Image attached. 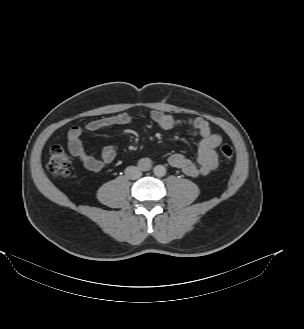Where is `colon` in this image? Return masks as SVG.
Wrapping results in <instances>:
<instances>
[{
  "instance_id": "1",
  "label": "colon",
  "mask_w": 304,
  "mask_h": 329,
  "mask_svg": "<svg viewBox=\"0 0 304 329\" xmlns=\"http://www.w3.org/2000/svg\"><path fill=\"white\" fill-rule=\"evenodd\" d=\"M220 153L224 160H231L234 156L233 148L228 144L221 146ZM71 165L72 159L62 146L56 145L51 148L48 161V169L53 177H68L70 174Z\"/></svg>"
}]
</instances>
